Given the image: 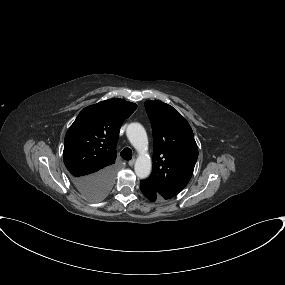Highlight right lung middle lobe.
Returning a JSON list of instances; mask_svg holds the SVG:
<instances>
[{
	"label": "right lung middle lobe",
	"instance_id": "dd1d6c3e",
	"mask_svg": "<svg viewBox=\"0 0 285 285\" xmlns=\"http://www.w3.org/2000/svg\"><path fill=\"white\" fill-rule=\"evenodd\" d=\"M107 195V193H101V194H95L93 196L87 197L90 200H100L102 198H104Z\"/></svg>",
	"mask_w": 285,
	"mask_h": 285
}]
</instances>
